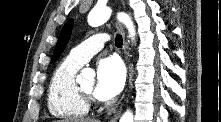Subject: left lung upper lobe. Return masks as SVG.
Returning <instances> with one entry per match:
<instances>
[{
    "label": "left lung upper lobe",
    "instance_id": "5c2ea615",
    "mask_svg": "<svg viewBox=\"0 0 221 122\" xmlns=\"http://www.w3.org/2000/svg\"><path fill=\"white\" fill-rule=\"evenodd\" d=\"M72 27H73V20L71 19L62 28L51 60L52 63L56 62V60L59 58V56L65 49L71 35Z\"/></svg>",
    "mask_w": 221,
    "mask_h": 122
}]
</instances>
